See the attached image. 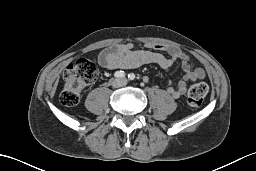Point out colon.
Wrapping results in <instances>:
<instances>
[{
    "mask_svg": "<svg viewBox=\"0 0 256 171\" xmlns=\"http://www.w3.org/2000/svg\"><path fill=\"white\" fill-rule=\"evenodd\" d=\"M98 76V68L89 59H79L70 64L63 73L64 85L60 94V101L65 106L77 105L82 89L92 84ZM209 87L206 83L193 84L188 90V103L192 107L202 104Z\"/></svg>",
    "mask_w": 256,
    "mask_h": 171,
    "instance_id": "colon-1",
    "label": "colon"
}]
</instances>
